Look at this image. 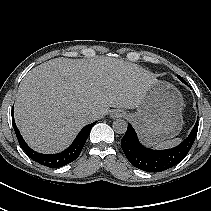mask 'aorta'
I'll return each mask as SVG.
<instances>
[{"label":"aorta","instance_id":"obj_1","mask_svg":"<svg viewBox=\"0 0 211 211\" xmlns=\"http://www.w3.org/2000/svg\"><path fill=\"white\" fill-rule=\"evenodd\" d=\"M113 130L118 134H124L127 131V123L122 119H117L113 122Z\"/></svg>","mask_w":211,"mask_h":211}]
</instances>
